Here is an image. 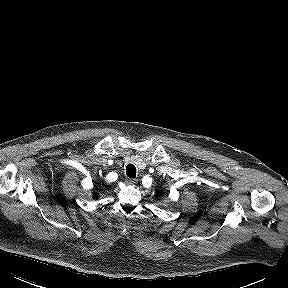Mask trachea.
I'll list each match as a JSON object with an SVG mask.
<instances>
[{
  "mask_svg": "<svg viewBox=\"0 0 288 288\" xmlns=\"http://www.w3.org/2000/svg\"><path fill=\"white\" fill-rule=\"evenodd\" d=\"M126 175L130 178L136 177V168L133 164H128L126 166Z\"/></svg>",
  "mask_w": 288,
  "mask_h": 288,
  "instance_id": "trachea-1",
  "label": "trachea"
}]
</instances>
